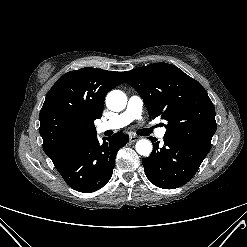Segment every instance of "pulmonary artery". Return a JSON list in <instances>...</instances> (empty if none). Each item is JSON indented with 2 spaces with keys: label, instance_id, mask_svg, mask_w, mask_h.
<instances>
[{
  "label": "pulmonary artery",
  "instance_id": "e3ab8cb5",
  "mask_svg": "<svg viewBox=\"0 0 247 247\" xmlns=\"http://www.w3.org/2000/svg\"><path fill=\"white\" fill-rule=\"evenodd\" d=\"M142 106L143 102L139 96H131L128 100L126 109L113 118L98 124L97 131L99 133H102L108 130L121 129L130 124L132 121L140 119L142 114ZM150 129L152 130V132H155L158 138H164L166 133L165 128L151 127Z\"/></svg>",
  "mask_w": 247,
  "mask_h": 247
}]
</instances>
